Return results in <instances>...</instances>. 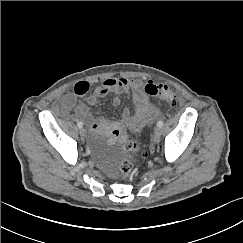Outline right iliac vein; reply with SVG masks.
I'll return each mask as SVG.
<instances>
[{"label": "right iliac vein", "mask_w": 243, "mask_h": 243, "mask_svg": "<svg viewBox=\"0 0 243 243\" xmlns=\"http://www.w3.org/2000/svg\"><path fill=\"white\" fill-rule=\"evenodd\" d=\"M80 135L82 137H85L86 136V130L84 128H80V131H79Z\"/></svg>", "instance_id": "right-iliac-vein-1"}]
</instances>
